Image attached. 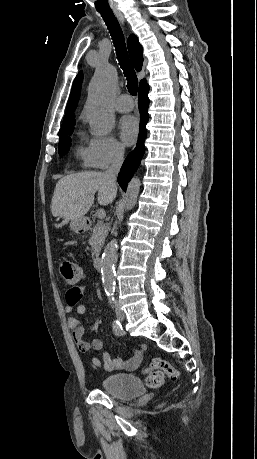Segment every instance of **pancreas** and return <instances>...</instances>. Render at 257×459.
I'll use <instances>...</instances> for the list:
<instances>
[{
  "mask_svg": "<svg viewBox=\"0 0 257 459\" xmlns=\"http://www.w3.org/2000/svg\"><path fill=\"white\" fill-rule=\"evenodd\" d=\"M110 230V225L99 221L92 229L89 239V244L92 250V256H98L104 242L105 238Z\"/></svg>",
  "mask_w": 257,
  "mask_h": 459,
  "instance_id": "1",
  "label": "pancreas"
}]
</instances>
